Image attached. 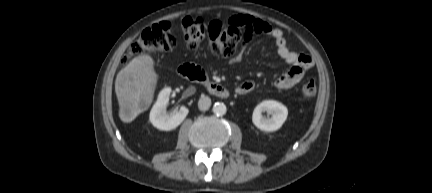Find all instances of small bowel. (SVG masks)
Here are the masks:
<instances>
[{"label":"small bowel","mask_w":432,"mask_h":193,"mask_svg":"<svg viewBox=\"0 0 432 193\" xmlns=\"http://www.w3.org/2000/svg\"><path fill=\"white\" fill-rule=\"evenodd\" d=\"M229 23L243 28L248 39L255 34H264L273 38L277 54L289 65V69L275 81L276 88L287 90L294 87L301 81L306 71L314 66L313 59L308 54L296 52L288 45L281 29L250 15L231 17ZM242 58L243 52H240L229 63L237 64ZM254 86L252 81H244L236 87L235 91L239 95H244L251 92Z\"/></svg>","instance_id":"c3829d8e"}]
</instances>
